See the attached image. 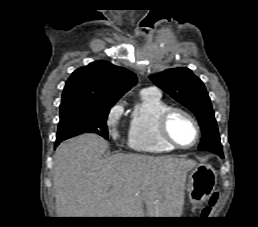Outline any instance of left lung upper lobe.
<instances>
[{
    "mask_svg": "<svg viewBox=\"0 0 258 227\" xmlns=\"http://www.w3.org/2000/svg\"><path fill=\"white\" fill-rule=\"evenodd\" d=\"M153 83L190 109L202 130L199 150L223 156L219 132L211 101L203 82L188 68L169 69L150 76Z\"/></svg>",
    "mask_w": 258,
    "mask_h": 227,
    "instance_id": "5c2ea615",
    "label": "left lung upper lobe"
}]
</instances>
